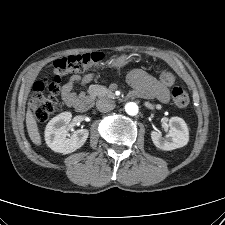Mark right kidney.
<instances>
[{
    "mask_svg": "<svg viewBox=\"0 0 225 225\" xmlns=\"http://www.w3.org/2000/svg\"><path fill=\"white\" fill-rule=\"evenodd\" d=\"M72 118L70 112H63L49 121L45 129V141L54 152L69 154L84 145L89 131L80 129L71 136L68 127Z\"/></svg>",
    "mask_w": 225,
    "mask_h": 225,
    "instance_id": "1",
    "label": "right kidney"
}]
</instances>
